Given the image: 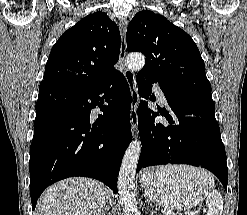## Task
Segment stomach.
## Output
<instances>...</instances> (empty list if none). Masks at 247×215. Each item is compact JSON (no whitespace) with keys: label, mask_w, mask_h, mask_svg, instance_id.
I'll return each mask as SVG.
<instances>
[{"label":"stomach","mask_w":247,"mask_h":215,"mask_svg":"<svg viewBox=\"0 0 247 215\" xmlns=\"http://www.w3.org/2000/svg\"><path fill=\"white\" fill-rule=\"evenodd\" d=\"M146 196L172 210H187L198 205L213 186L205 171L187 166L157 167L141 178Z\"/></svg>","instance_id":"stomach-1"}]
</instances>
